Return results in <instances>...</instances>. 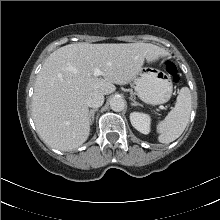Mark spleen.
Returning <instances> with one entry per match:
<instances>
[{"mask_svg":"<svg viewBox=\"0 0 220 220\" xmlns=\"http://www.w3.org/2000/svg\"><path fill=\"white\" fill-rule=\"evenodd\" d=\"M192 109V97L188 87H182L177 96L175 107L157 126L158 140L168 144L181 136L185 130Z\"/></svg>","mask_w":220,"mask_h":220,"instance_id":"obj_1","label":"spleen"}]
</instances>
